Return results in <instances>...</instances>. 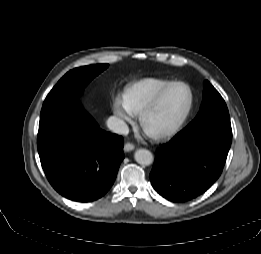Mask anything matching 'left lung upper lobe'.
<instances>
[{
  "instance_id": "1",
  "label": "left lung upper lobe",
  "mask_w": 261,
  "mask_h": 254,
  "mask_svg": "<svg viewBox=\"0 0 261 254\" xmlns=\"http://www.w3.org/2000/svg\"><path fill=\"white\" fill-rule=\"evenodd\" d=\"M208 124H230V117L225 101L206 80L204 82L203 101L200 111L185 129L197 130Z\"/></svg>"
}]
</instances>
